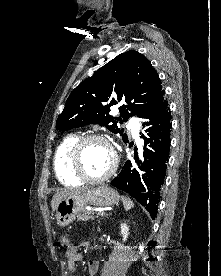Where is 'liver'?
<instances>
[{"label": "liver", "instance_id": "liver-1", "mask_svg": "<svg viewBox=\"0 0 221 276\" xmlns=\"http://www.w3.org/2000/svg\"><path fill=\"white\" fill-rule=\"evenodd\" d=\"M88 189H65L63 191L57 192L56 194H54L52 201H51V207L52 210L55 211L56 207L58 205V203L68 197V196H72V195H76V194H80V193H84L86 192Z\"/></svg>", "mask_w": 221, "mask_h": 276}]
</instances>
